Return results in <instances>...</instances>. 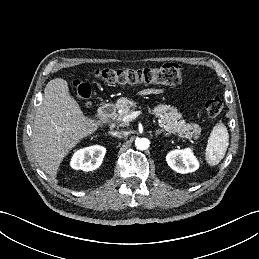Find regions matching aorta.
I'll use <instances>...</instances> for the list:
<instances>
[{"instance_id": "aorta-1", "label": "aorta", "mask_w": 259, "mask_h": 259, "mask_svg": "<svg viewBox=\"0 0 259 259\" xmlns=\"http://www.w3.org/2000/svg\"><path fill=\"white\" fill-rule=\"evenodd\" d=\"M149 140L147 138L136 139L135 145L139 150H146L149 147Z\"/></svg>"}]
</instances>
